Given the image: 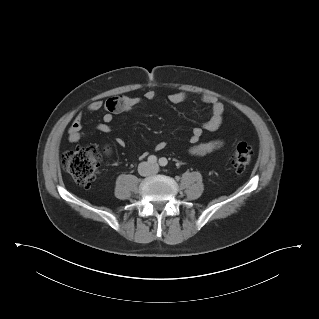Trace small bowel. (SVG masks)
<instances>
[{
	"instance_id": "small-bowel-1",
	"label": "small bowel",
	"mask_w": 319,
	"mask_h": 319,
	"mask_svg": "<svg viewBox=\"0 0 319 319\" xmlns=\"http://www.w3.org/2000/svg\"><path fill=\"white\" fill-rule=\"evenodd\" d=\"M144 99L152 101L156 98V92L154 90H146L144 92ZM187 95L183 92H174L169 95V100L172 103L178 104L185 101ZM112 101L114 104L112 108H109L108 102ZM201 101L211 107V117L201 126L195 127L192 130L190 142L192 144L190 152L193 155L203 156L214 152L222 147V141L210 140L201 142L203 131H215L222 124L225 106L220 99L214 95H204L201 97ZM140 98L135 96H117L113 97L106 102L102 100H95L91 102L87 108L88 112L95 113L98 111H104L102 116V122L97 125V130L101 133H109L111 131V122L114 119V114L118 112H127L139 104ZM83 137V114L78 113L71 122L68 131L67 138L71 143L78 142ZM116 143L119 146H124L125 141L123 138H117ZM165 147V142L160 141L157 143L156 148L161 150ZM143 156V155H141Z\"/></svg>"
}]
</instances>
